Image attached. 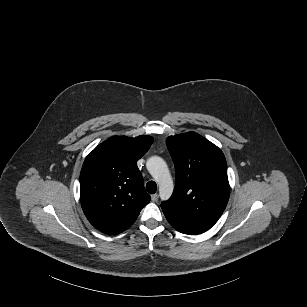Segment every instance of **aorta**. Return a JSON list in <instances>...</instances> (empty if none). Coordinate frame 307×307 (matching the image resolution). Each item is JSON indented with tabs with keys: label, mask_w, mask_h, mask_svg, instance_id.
<instances>
[{
	"label": "aorta",
	"mask_w": 307,
	"mask_h": 307,
	"mask_svg": "<svg viewBox=\"0 0 307 307\" xmlns=\"http://www.w3.org/2000/svg\"><path fill=\"white\" fill-rule=\"evenodd\" d=\"M146 168L159 186V196L162 200H168L174 189L167 163L158 156L150 157L146 162Z\"/></svg>",
	"instance_id": "aorta-1"
}]
</instances>
